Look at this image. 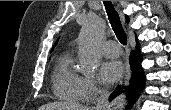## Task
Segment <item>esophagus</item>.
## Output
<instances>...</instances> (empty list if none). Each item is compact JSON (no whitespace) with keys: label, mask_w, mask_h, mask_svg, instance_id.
Masks as SVG:
<instances>
[{"label":"esophagus","mask_w":171,"mask_h":110,"mask_svg":"<svg viewBox=\"0 0 171 110\" xmlns=\"http://www.w3.org/2000/svg\"><path fill=\"white\" fill-rule=\"evenodd\" d=\"M131 68L129 63L126 64V71H125V79H124V84L127 85L129 83V80L131 78ZM124 104V94L120 95L117 97L113 103L112 106L113 108L116 109H121Z\"/></svg>","instance_id":"esophagus-1"}]
</instances>
